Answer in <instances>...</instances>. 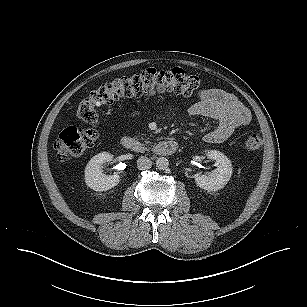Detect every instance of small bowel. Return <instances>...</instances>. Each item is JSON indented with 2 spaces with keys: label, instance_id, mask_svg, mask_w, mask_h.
<instances>
[{
  "label": "small bowel",
  "instance_id": "small-bowel-1",
  "mask_svg": "<svg viewBox=\"0 0 307 307\" xmlns=\"http://www.w3.org/2000/svg\"><path fill=\"white\" fill-rule=\"evenodd\" d=\"M188 112L192 116L207 117L215 123L214 128L204 135L207 143L225 141L251 119L250 111L235 95L216 88L201 90ZM136 116L132 113L129 119L133 120Z\"/></svg>",
  "mask_w": 307,
  "mask_h": 307
}]
</instances>
